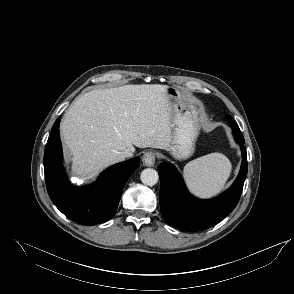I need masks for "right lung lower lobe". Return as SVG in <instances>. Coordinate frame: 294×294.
Instances as JSON below:
<instances>
[{"mask_svg": "<svg viewBox=\"0 0 294 294\" xmlns=\"http://www.w3.org/2000/svg\"><path fill=\"white\" fill-rule=\"evenodd\" d=\"M58 118L44 152L45 181L55 206L69 219L83 225H95L110 220L116 213L123 188L138 168L135 157L115 164L101 173L97 181L84 188H73L65 179Z\"/></svg>", "mask_w": 294, "mask_h": 294, "instance_id": "98d812e1", "label": "right lung lower lobe"}]
</instances>
